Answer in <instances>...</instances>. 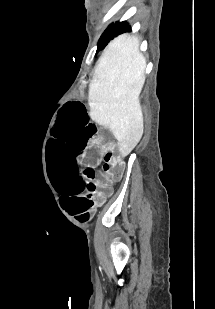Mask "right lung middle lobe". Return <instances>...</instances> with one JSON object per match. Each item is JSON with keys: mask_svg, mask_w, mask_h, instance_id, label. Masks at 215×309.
<instances>
[{"mask_svg": "<svg viewBox=\"0 0 215 309\" xmlns=\"http://www.w3.org/2000/svg\"><path fill=\"white\" fill-rule=\"evenodd\" d=\"M121 25L122 24L118 22L115 25L114 24L110 25V27L104 32V34L101 36L99 40L97 49L98 51L103 49L111 39H113L115 36L118 35L121 29Z\"/></svg>", "mask_w": 215, "mask_h": 309, "instance_id": "1", "label": "right lung middle lobe"}]
</instances>
